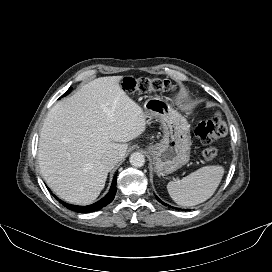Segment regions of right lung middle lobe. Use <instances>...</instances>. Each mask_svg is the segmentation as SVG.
<instances>
[{
    "instance_id": "right-lung-middle-lobe-1",
    "label": "right lung middle lobe",
    "mask_w": 272,
    "mask_h": 272,
    "mask_svg": "<svg viewBox=\"0 0 272 272\" xmlns=\"http://www.w3.org/2000/svg\"><path fill=\"white\" fill-rule=\"evenodd\" d=\"M70 91H71V89H69L64 95H67Z\"/></svg>"
}]
</instances>
